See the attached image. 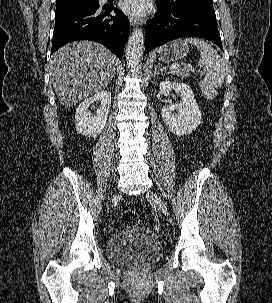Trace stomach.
Returning a JSON list of instances; mask_svg holds the SVG:
<instances>
[{
	"instance_id": "obj_1",
	"label": "stomach",
	"mask_w": 272,
	"mask_h": 303,
	"mask_svg": "<svg viewBox=\"0 0 272 303\" xmlns=\"http://www.w3.org/2000/svg\"><path fill=\"white\" fill-rule=\"evenodd\" d=\"M189 52V47L181 39L162 46L158 52V59L165 63L175 62L184 58Z\"/></svg>"
}]
</instances>
